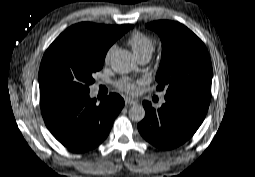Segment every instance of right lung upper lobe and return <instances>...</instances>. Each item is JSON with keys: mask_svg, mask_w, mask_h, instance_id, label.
Segmentation results:
<instances>
[{"mask_svg": "<svg viewBox=\"0 0 255 177\" xmlns=\"http://www.w3.org/2000/svg\"><path fill=\"white\" fill-rule=\"evenodd\" d=\"M123 25H100L89 22L78 23L64 33L75 34L87 39H94L110 46L120 38Z\"/></svg>", "mask_w": 255, "mask_h": 177, "instance_id": "cb5924a9", "label": "right lung upper lobe"}]
</instances>
